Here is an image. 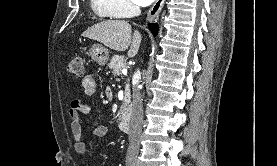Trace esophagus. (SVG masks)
Listing matches in <instances>:
<instances>
[{"mask_svg":"<svg viewBox=\"0 0 277 166\" xmlns=\"http://www.w3.org/2000/svg\"><path fill=\"white\" fill-rule=\"evenodd\" d=\"M165 0H156L153 6L149 9L147 13V18L151 21L157 20L160 12L164 6Z\"/></svg>","mask_w":277,"mask_h":166,"instance_id":"1","label":"esophagus"}]
</instances>
